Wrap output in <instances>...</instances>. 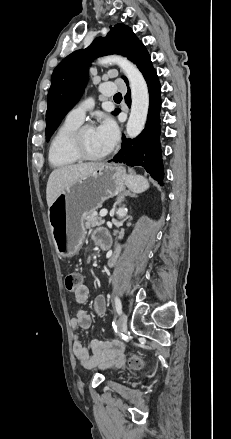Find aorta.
<instances>
[{
  "label": "aorta",
  "mask_w": 231,
  "mask_h": 439,
  "mask_svg": "<svg viewBox=\"0 0 231 439\" xmlns=\"http://www.w3.org/2000/svg\"><path fill=\"white\" fill-rule=\"evenodd\" d=\"M100 65L116 64L129 80L131 89V112L126 126L128 137L135 138L144 129L148 109L149 93L147 83L138 68L127 58L119 55H110L98 60ZM127 208L121 207L117 214L123 218L127 214Z\"/></svg>",
  "instance_id": "aorta-1"
}]
</instances>
